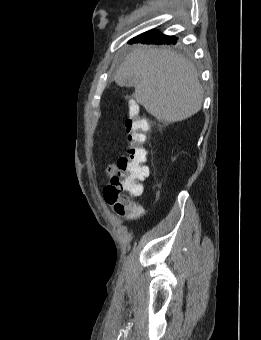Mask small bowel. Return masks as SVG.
Segmentation results:
<instances>
[{"instance_id": "obj_1", "label": "small bowel", "mask_w": 261, "mask_h": 340, "mask_svg": "<svg viewBox=\"0 0 261 340\" xmlns=\"http://www.w3.org/2000/svg\"><path fill=\"white\" fill-rule=\"evenodd\" d=\"M116 172H117V162H112L106 168L105 177L106 178H112V177H114ZM141 212L138 213L137 215H128L127 219L133 220V219L137 218L141 214Z\"/></svg>"}]
</instances>
